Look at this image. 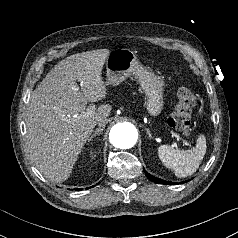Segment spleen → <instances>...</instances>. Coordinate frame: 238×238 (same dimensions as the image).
Wrapping results in <instances>:
<instances>
[{
  "mask_svg": "<svg viewBox=\"0 0 238 238\" xmlns=\"http://www.w3.org/2000/svg\"><path fill=\"white\" fill-rule=\"evenodd\" d=\"M206 153V138L203 134L196 140L193 150L180 151L171 146L161 145L158 148V156L163 165L173 170L175 175L185 178L192 175L199 168Z\"/></svg>",
  "mask_w": 238,
  "mask_h": 238,
  "instance_id": "obj_1",
  "label": "spleen"
}]
</instances>
